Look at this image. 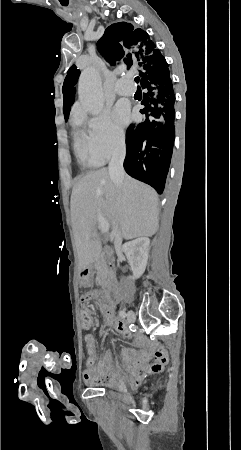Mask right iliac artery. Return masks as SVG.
Returning a JSON list of instances; mask_svg holds the SVG:
<instances>
[{"mask_svg":"<svg viewBox=\"0 0 241 450\" xmlns=\"http://www.w3.org/2000/svg\"><path fill=\"white\" fill-rule=\"evenodd\" d=\"M119 316H120L121 318H125V317H126L125 311H119Z\"/></svg>","mask_w":241,"mask_h":450,"instance_id":"right-iliac-artery-1","label":"right iliac artery"}]
</instances>
